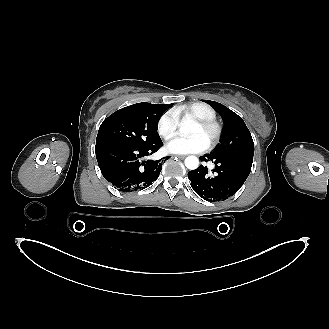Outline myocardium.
<instances>
[{
	"mask_svg": "<svg viewBox=\"0 0 329 329\" xmlns=\"http://www.w3.org/2000/svg\"><path fill=\"white\" fill-rule=\"evenodd\" d=\"M193 123L212 133V137L208 143L209 149L215 147L219 143L222 137L223 128L218 121L215 119H195Z\"/></svg>",
	"mask_w": 329,
	"mask_h": 329,
	"instance_id": "obj_1",
	"label": "myocardium"
}]
</instances>
